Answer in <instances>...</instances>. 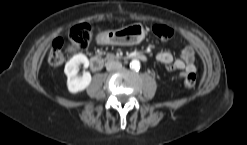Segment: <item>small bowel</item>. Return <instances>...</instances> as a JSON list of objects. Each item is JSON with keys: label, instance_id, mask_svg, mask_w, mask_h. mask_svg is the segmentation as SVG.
I'll return each instance as SVG.
<instances>
[{"label": "small bowel", "instance_id": "small-bowel-1", "mask_svg": "<svg viewBox=\"0 0 247 145\" xmlns=\"http://www.w3.org/2000/svg\"><path fill=\"white\" fill-rule=\"evenodd\" d=\"M155 58L170 71L181 70L183 71L182 74L196 72L195 50L192 46H186L182 50L180 57H175L167 51H160Z\"/></svg>", "mask_w": 247, "mask_h": 145}]
</instances>
